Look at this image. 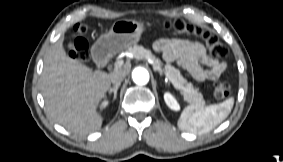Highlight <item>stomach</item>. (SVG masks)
<instances>
[{
  "instance_id": "obj_1",
  "label": "stomach",
  "mask_w": 283,
  "mask_h": 162,
  "mask_svg": "<svg viewBox=\"0 0 283 162\" xmlns=\"http://www.w3.org/2000/svg\"><path fill=\"white\" fill-rule=\"evenodd\" d=\"M146 25L134 19H121L115 21L109 32L101 35L92 47L96 59L129 50L135 46L145 31Z\"/></svg>"
}]
</instances>
